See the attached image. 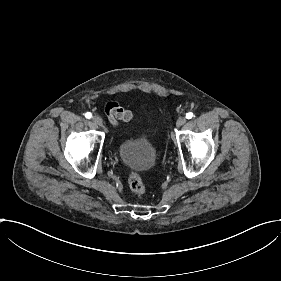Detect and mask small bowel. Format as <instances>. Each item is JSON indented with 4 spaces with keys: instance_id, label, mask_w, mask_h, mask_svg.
Listing matches in <instances>:
<instances>
[{
    "instance_id": "obj_1",
    "label": "small bowel",
    "mask_w": 281,
    "mask_h": 281,
    "mask_svg": "<svg viewBox=\"0 0 281 281\" xmlns=\"http://www.w3.org/2000/svg\"><path fill=\"white\" fill-rule=\"evenodd\" d=\"M107 118L113 125H118L119 122H130L134 119L131 111L120 107L117 102H110L106 110Z\"/></svg>"
}]
</instances>
